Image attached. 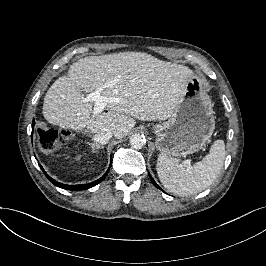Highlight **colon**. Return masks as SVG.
<instances>
[{
	"instance_id": "colon-1",
	"label": "colon",
	"mask_w": 266,
	"mask_h": 266,
	"mask_svg": "<svg viewBox=\"0 0 266 266\" xmlns=\"http://www.w3.org/2000/svg\"><path fill=\"white\" fill-rule=\"evenodd\" d=\"M38 143L42 150L52 152L60 145L59 132L50 126L37 128Z\"/></svg>"
}]
</instances>
